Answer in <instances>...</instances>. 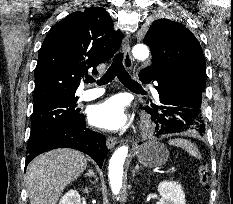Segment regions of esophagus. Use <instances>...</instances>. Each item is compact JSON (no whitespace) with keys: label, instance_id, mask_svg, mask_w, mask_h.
Segmentation results:
<instances>
[{"label":"esophagus","instance_id":"34e87169","mask_svg":"<svg viewBox=\"0 0 233 204\" xmlns=\"http://www.w3.org/2000/svg\"><path fill=\"white\" fill-rule=\"evenodd\" d=\"M122 48H123V53H124V58H123L124 65L127 69H131L133 65V59H132L131 52H130V39L128 36L124 37ZM116 143H117L116 137H113V136L107 137L106 145L109 149L114 148Z\"/></svg>","mask_w":233,"mask_h":204}]
</instances>
